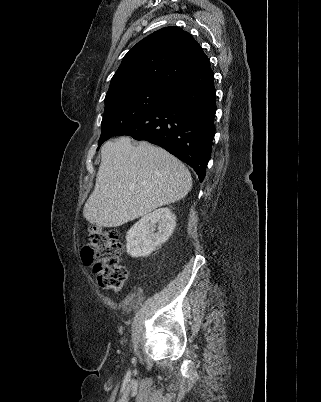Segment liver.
I'll return each mask as SVG.
<instances>
[{
  "mask_svg": "<svg viewBox=\"0 0 321 402\" xmlns=\"http://www.w3.org/2000/svg\"><path fill=\"white\" fill-rule=\"evenodd\" d=\"M84 218L99 227H118L158 207L183 199L192 188L189 170L161 147L130 137L107 141Z\"/></svg>",
  "mask_w": 321,
  "mask_h": 402,
  "instance_id": "6515ba94",
  "label": "liver"
}]
</instances>
